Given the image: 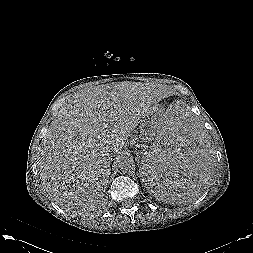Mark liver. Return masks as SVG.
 I'll return each instance as SVG.
<instances>
[{
  "label": "liver",
  "mask_w": 253,
  "mask_h": 253,
  "mask_svg": "<svg viewBox=\"0 0 253 253\" xmlns=\"http://www.w3.org/2000/svg\"><path fill=\"white\" fill-rule=\"evenodd\" d=\"M166 90L121 82L82 89L68 99L47 129L38 158L51 199L80 215L104 209L112 156Z\"/></svg>",
  "instance_id": "6515ba94"
}]
</instances>
